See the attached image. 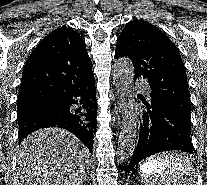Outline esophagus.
<instances>
[{"mask_svg":"<svg viewBox=\"0 0 207 185\" xmlns=\"http://www.w3.org/2000/svg\"><path fill=\"white\" fill-rule=\"evenodd\" d=\"M109 111H112V115H115V123H116V128H123V123L124 120L122 119V114H119V110L117 106H109L108 107ZM115 136L119 135L118 131L114 132Z\"/></svg>","mask_w":207,"mask_h":185,"instance_id":"obj_1","label":"esophagus"}]
</instances>
